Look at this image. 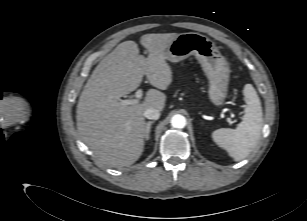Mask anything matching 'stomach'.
Segmentation results:
<instances>
[{
	"mask_svg": "<svg viewBox=\"0 0 307 221\" xmlns=\"http://www.w3.org/2000/svg\"><path fill=\"white\" fill-rule=\"evenodd\" d=\"M191 55L197 58L209 80V99L215 106L222 105L228 94V62L208 37L195 32L178 34L165 51V59L173 63Z\"/></svg>",
	"mask_w": 307,
	"mask_h": 221,
	"instance_id": "1",
	"label": "stomach"
}]
</instances>
